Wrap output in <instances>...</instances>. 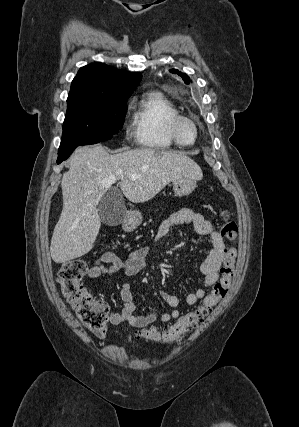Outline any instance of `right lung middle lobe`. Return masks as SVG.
Returning a JSON list of instances; mask_svg holds the SVG:
<instances>
[{"mask_svg": "<svg viewBox=\"0 0 299 427\" xmlns=\"http://www.w3.org/2000/svg\"><path fill=\"white\" fill-rule=\"evenodd\" d=\"M129 97L67 100L58 152L111 139L122 128Z\"/></svg>", "mask_w": 299, "mask_h": 427, "instance_id": "right-lung-middle-lobe-1", "label": "right lung middle lobe"}]
</instances>
